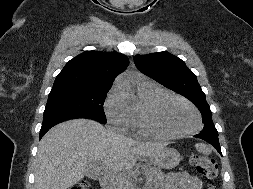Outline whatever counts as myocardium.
I'll use <instances>...</instances> for the list:
<instances>
[{
    "label": "myocardium",
    "mask_w": 253,
    "mask_h": 189,
    "mask_svg": "<svg viewBox=\"0 0 253 189\" xmlns=\"http://www.w3.org/2000/svg\"><path fill=\"white\" fill-rule=\"evenodd\" d=\"M165 98L176 99L186 104L188 107H190L196 115V119H197L196 127L186 132H172L164 128L157 119V109L160 103ZM143 122H144V127L149 134L158 136V137H163V138L187 137V136L196 134L202 127V118H201V114L199 110L189 100L173 92H163L157 95L154 99H152L145 109Z\"/></svg>",
    "instance_id": "f54148a6"
}]
</instances>
